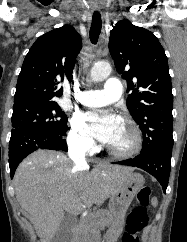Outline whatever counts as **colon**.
Returning <instances> with one entry per match:
<instances>
[{"mask_svg":"<svg viewBox=\"0 0 187 242\" xmlns=\"http://www.w3.org/2000/svg\"><path fill=\"white\" fill-rule=\"evenodd\" d=\"M150 187H142L137 194V204L127 217L126 232L121 242H139L138 234L145 228L148 215L147 206L150 202Z\"/></svg>","mask_w":187,"mask_h":242,"instance_id":"colon-1","label":"colon"}]
</instances>
